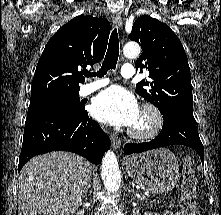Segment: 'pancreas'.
<instances>
[{
	"mask_svg": "<svg viewBox=\"0 0 221 215\" xmlns=\"http://www.w3.org/2000/svg\"><path fill=\"white\" fill-rule=\"evenodd\" d=\"M142 201H145L146 206H150V207L156 206L159 203V201L151 200L149 197H144V199H142Z\"/></svg>",
	"mask_w": 221,
	"mask_h": 215,
	"instance_id": "1",
	"label": "pancreas"
}]
</instances>
